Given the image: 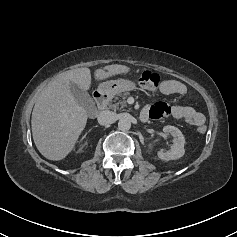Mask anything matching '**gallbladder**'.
<instances>
[{
	"instance_id": "1",
	"label": "gallbladder",
	"mask_w": 237,
	"mask_h": 237,
	"mask_svg": "<svg viewBox=\"0 0 237 237\" xmlns=\"http://www.w3.org/2000/svg\"><path fill=\"white\" fill-rule=\"evenodd\" d=\"M70 91L79 105L83 108L89 110L94 106V102L88 92L81 89L77 84L71 82Z\"/></svg>"
}]
</instances>
